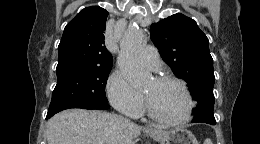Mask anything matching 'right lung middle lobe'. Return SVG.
Returning a JSON list of instances; mask_svg holds the SVG:
<instances>
[{
  "instance_id": "1",
  "label": "right lung middle lobe",
  "mask_w": 260,
  "mask_h": 144,
  "mask_svg": "<svg viewBox=\"0 0 260 144\" xmlns=\"http://www.w3.org/2000/svg\"><path fill=\"white\" fill-rule=\"evenodd\" d=\"M112 67H63L56 69L57 85L47 115L68 108L107 104L105 86Z\"/></svg>"
}]
</instances>
